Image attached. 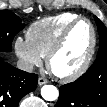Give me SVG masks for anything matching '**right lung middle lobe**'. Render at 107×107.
<instances>
[{
	"instance_id": "1",
	"label": "right lung middle lobe",
	"mask_w": 107,
	"mask_h": 107,
	"mask_svg": "<svg viewBox=\"0 0 107 107\" xmlns=\"http://www.w3.org/2000/svg\"><path fill=\"white\" fill-rule=\"evenodd\" d=\"M21 19L9 10L0 11V51L10 52L14 36L24 28Z\"/></svg>"
}]
</instances>
